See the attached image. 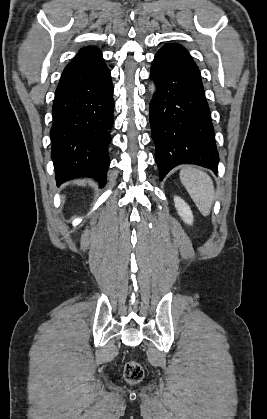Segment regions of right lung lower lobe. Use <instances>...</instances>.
<instances>
[{
	"instance_id": "98d812e1",
	"label": "right lung lower lobe",
	"mask_w": 267,
	"mask_h": 419,
	"mask_svg": "<svg viewBox=\"0 0 267 419\" xmlns=\"http://www.w3.org/2000/svg\"><path fill=\"white\" fill-rule=\"evenodd\" d=\"M113 85L104 61L70 62L55 92L50 130L57 184L77 177L106 183Z\"/></svg>"
}]
</instances>
